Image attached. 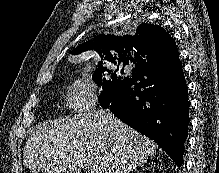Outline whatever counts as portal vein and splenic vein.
Masks as SVG:
<instances>
[{"label": "portal vein and splenic vein", "mask_w": 219, "mask_h": 173, "mask_svg": "<svg viewBox=\"0 0 219 173\" xmlns=\"http://www.w3.org/2000/svg\"><path fill=\"white\" fill-rule=\"evenodd\" d=\"M88 172H89V173H92V171H91V170H88Z\"/></svg>", "instance_id": "obj_1"}]
</instances>
